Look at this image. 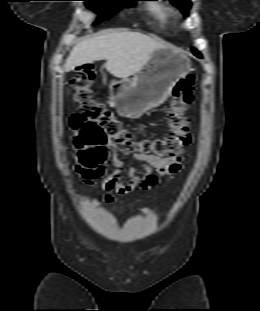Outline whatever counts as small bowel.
<instances>
[{
    "instance_id": "small-bowel-1",
    "label": "small bowel",
    "mask_w": 260,
    "mask_h": 311,
    "mask_svg": "<svg viewBox=\"0 0 260 311\" xmlns=\"http://www.w3.org/2000/svg\"><path fill=\"white\" fill-rule=\"evenodd\" d=\"M106 147L111 152L112 169L105 177L107 167L102 165L96 172L92 170H83L79 167L75 171L82 174L84 183L88 186L99 189L105 193V200L113 201L115 195H128L140 188L142 190H150L154 188L159 179L172 178L182 168V157L159 158L154 155L137 152L135 160L141 163L142 176H139V169L130 167L127 171L129 181L124 182L122 179L123 163L118 158V150L114 143L108 142ZM156 170L157 174L153 173ZM102 178L100 182L95 180Z\"/></svg>"
}]
</instances>
